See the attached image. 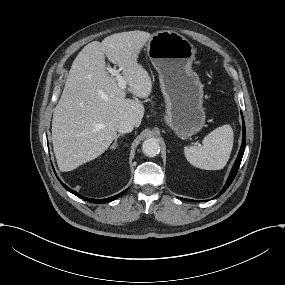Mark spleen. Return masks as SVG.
I'll return each instance as SVG.
<instances>
[{
  "label": "spleen",
  "instance_id": "3e777b00",
  "mask_svg": "<svg viewBox=\"0 0 285 285\" xmlns=\"http://www.w3.org/2000/svg\"><path fill=\"white\" fill-rule=\"evenodd\" d=\"M233 134V129L229 124L214 129L203 139L202 147L184 148L187 161L200 169H223L232 151Z\"/></svg>",
  "mask_w": 285,
  "mask_h": 285
}]
</instances>
